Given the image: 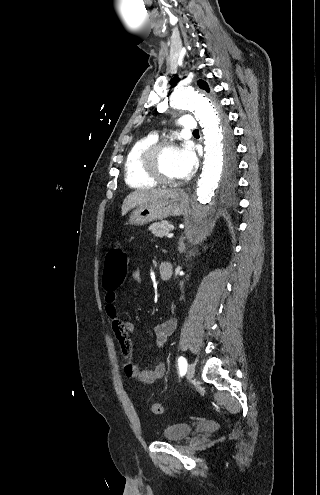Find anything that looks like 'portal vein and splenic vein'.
<instances>
[{
  "label": "portal vein and splenic vein",
  "instance_id": "1",
  "mask_svg": "<svg viewBox=\"0 0 320 495\" xmlns=\"http://www.w3.org/2000/svg\"><path fill=\"white\" fill-rule=\"evenodd\" d=\"M173 236H174V234H173V233H169V234L167 235V237H168V238H172Z\"/></svg>",
  "mask_w": 320,
  "mask_h": 495
}]
</instances>
